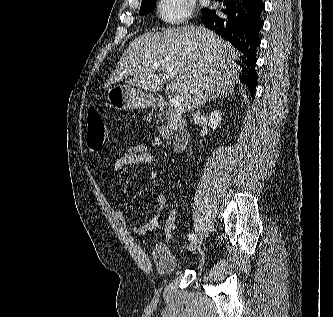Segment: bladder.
<instances>
[{
  "label": "bladder",
  "instance_id": "bladder-1",
  "mask_svg": "<svg viewBox=\"0 0 333 317\" xmlns=\"http://www.w3.org/2000/svg\"><path fill=\"white\" fill-rule=\"evenodd\" d=\"M152 262L161 275H172L179 269V262L170 248L164 244L156 245L152 250Z\"/></svg>",
  "mask_w": 333,
  "mask_h": 317
}]
</instances>
